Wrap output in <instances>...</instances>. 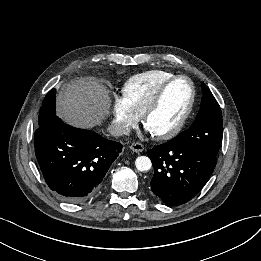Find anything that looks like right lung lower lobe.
<instances>
[{"instance_id":"right-lung-lower-lobe-1","label":"right lung lower lobe","mask_w":261,"mask_h":261,"mask_svg":"<svg viewBox=\"0 0 261 261\" xmlns=\"http://www.w3.org/2000/svg\"><path fill=\"white\" fill-rule=\"evenodd\" d=\"M35 154L49 188L81 203L94 196L123 145L53 117L34 134Z\"/></svg>"}]
</instances>
